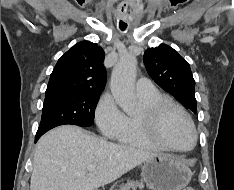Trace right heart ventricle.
<instances>
[{
    "mask_svg": "<svg viewBox=\"0 0 234 190\" xmlns=\"http://www.w3.org/2000/svg\"><path fill=\"white\" fill-rule=\"evenodd\" d=\"M138 99L143 110L160 99L169 98L156 91L150 95H138ZM116 138L120 143L130 147L150 150L162 149L147 133L144 124L140 120V113L125 115L124 124Z\"/></svg>",
    "mask_w": 234,
    "mask_h": 190,
    "instance_id": "e07e8e85",
    "label": "right heart ventricle"
}]
</instances>
